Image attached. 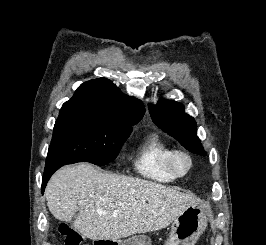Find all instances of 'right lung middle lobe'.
<instances>
[{
  "mask_svg": "<svg viewBox=\"0 0 266 245\" xmlns=\"http://www.w3.org/2000/svg\"><path fill=\"white\" fill-rule=\"evenodd\" d=\"M133 125L95 114L59 116L45 169L77 162L106 165L116 158Z\"/></svg>",
  "mask_w": 266,
  "mask_h": 245,
  "instance_id": "dd1d6c3e",
  "label": "right lung middle lobe"
}]
</instances>
